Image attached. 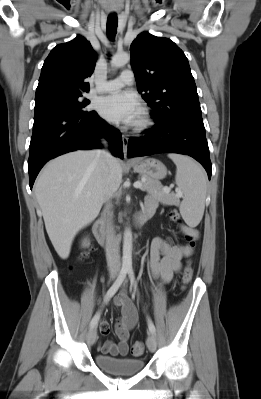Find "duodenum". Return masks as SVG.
<instances>
[{"mask_svg": "<svg viewBox=\"0 0 261 399\" xmlns=\"http://www.w3.org/2000/svg\"><path fill=\"white\" fill-rule=\"evenodd\" d=\"M153 210L151 209H144L135 219L136 226H141L146 220H148L152 214ZM93 233L97 240V242L104 246L107 243V230L105 221L100 219L95 222L93 225Z\"/></svg>", "mask_w": 261, "mask_h": 399, "instance_id": "obj_1", "label": "duodenum"}]
</instances>
